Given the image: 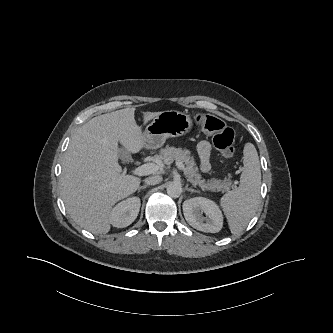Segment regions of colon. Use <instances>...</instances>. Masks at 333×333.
Segmentation results:
<instances>
[{
    "instance_id": "5ec220e1",
    "label": "colon",
    "mask_w": 333,
    "mask_h": 333,
    "mask_svg": "<svg viewBox=\"0 0 333 333\" xmlns=\"http://www.w3.org/2000/svg\"><path fill=\"white\" fill-rule=\"evenodd\" d=\"M196 122L207 133L213 134V144L224 156L230 157L235 149V133L222 120L210 114H197Z\"/></svg>"
}]
</instances>
